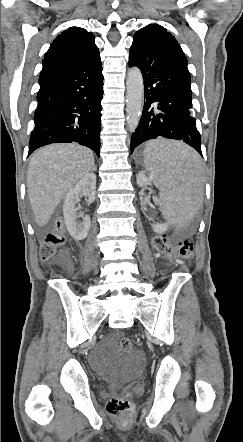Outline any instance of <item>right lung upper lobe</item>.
<instances>
[{
    "mask_svg": "<svg viewBox=\"0 0 243 442\" xmlns=\"http://www.w3.org/2000/svg\"><path fill=\"white\" fill-rule=\"evenodd\" d=\"M99 50L94 43V35L80 27H70L56 37L46 52L40 74L70 65L94 60Z\"/></svg>",
    "mask_w": 243,
    "mask_h": 442,
    "instance_id": "cb5924a9",
    "label": "right lung upper lobe"
}]
</instances>
